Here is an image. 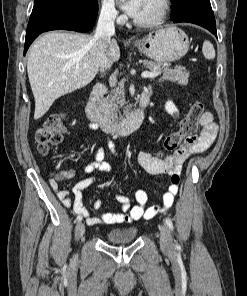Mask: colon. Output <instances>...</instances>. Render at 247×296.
<instances>
[{
    "label": "colon",
    "mask_w": 247,
    "mask_h": 296,
    "mask_svg": "<svg viewBox=\"0 0 247 296\" xmlns=\"http://www.w3.org/2000/svg\"><path fill=\"white\" fill-rule=\"evenodd\" d=\"M203 112V104L200 101L194 102L181 120L178 129L165 138L163 150L165 152H172L178 149L183 139L189 137L197 130ZM65 130L66 126L62 114L50 116L35 134L39 154L47 155L52 147L59 145L63 139ZM179 181L180 177L178 175L172 177L173 183L178 185Z\"/></svg>",
    "instance_id": "colon-1"
}]
</instances>
